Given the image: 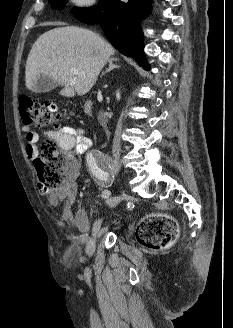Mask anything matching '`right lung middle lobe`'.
I'll list each match as a JSON object with an SVG mask.
<instances>
[{
	"mask_svg": "<svg viewBox=\"0 0 233 328\" xmlns=\"http://www.w3.org/2000/svg\"><path fill=\"white\" fill-rule=\"evenodd\" d=\"M51 1V5L53 6L54 9H62L65 4L67 3V0H50ZM88 8H78V7H75L73 12H82V11H85L87 10Z\"/></svg>",
	"mask_w": 233,
	"mask_h": 328,
	"instance_id": "dd1d6c3e",
	"label": "right lung middle lobe"
}]
</instances>
